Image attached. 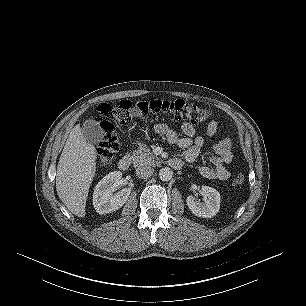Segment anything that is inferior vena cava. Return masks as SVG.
I'll return each instance as SVG.
<instances>
[{"instance_id":"obj_1","label":"inferior vena cava","mask_w":306,"mask_h":306,"mask_svg":"<svg viewBox=\"0 0 306 306\" xmlns=\"http://www.w3.org/2000/svg\"><path fill=\"white\" fill-rule=\"evenodd\" d=\"M154 173V169L151 166H141L136 169V175L139 178L147 179L150 178Z\"/></svg>"}]
</instances>
